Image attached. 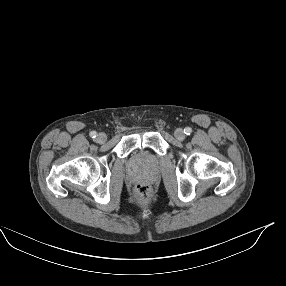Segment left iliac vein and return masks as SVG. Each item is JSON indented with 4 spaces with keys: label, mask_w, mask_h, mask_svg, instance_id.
Returning <instances> with one entry per match:
<instances>
[{
    "label": "left iliac vein",
    "mask_w": 286,
    "mask_h": 286,
    "mask_svg": "<svg viewBox=\"0 0 286 286\" xmlns=\"http://www.w3.org/2000/svg\"><path fill=\"white\" fill-rule=\"evenodd\" d=\"M174 135L179 141H183L185 139V133L180 128L175 130Z\"/></svg>",
    "instance_id": "left-iliac-vein-1"
}]
</instances>
